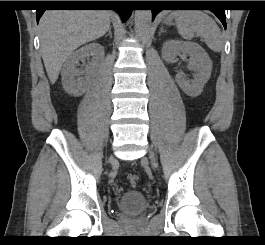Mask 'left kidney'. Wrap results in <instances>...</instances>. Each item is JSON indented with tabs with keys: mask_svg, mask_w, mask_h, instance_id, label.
<instances>
[{
	"mask_svg": "<svg viewBox=\"0 0 265 245\" xmlns=\"http://www.w3.org/2000/svg\"><path fill=\"white\" fill-rule=\"evenodd\" d=\"M181 54L190 56L189 68L195 72V76L192 80H186L180 73L176 75V82L185 94L197 97L211 76L212 61L197 43L169 40L163 44L162 56L166 61L170 62Z\"/></svg>",
	"mask_w": 265,
	"mask_h": 245,
	"instance_id": "left-kidney-1",
	"label": "left kidney"
}]
</instances>
